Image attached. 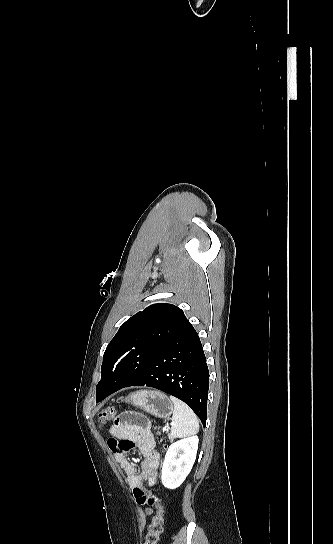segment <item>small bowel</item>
Returning <instances> with one entry per match:
<instances>
[{"instance_id": "1", "label": "small bowel", "mask_w": 333, "mask_h": 544, "mask_svg": "<svg viewBox=\"0 0 333 544\" xmlns=\"http://www.w3.org/2000/svg\"><path fill=\"white\" fill-rule=\"evenodd\" d=\"M110 437L108 446L117 463L123 469L126 482L131 488L136 501L145 503L148 496L146 487L154 488L158 481V468L161 455L156 449V442L149 426L148 419L140 414L126 412L117 417L109 428ZM138 449L142 455V462L138 470L129 461L126 453ZM147 508L145 513L151 514ZM144 522V516L142 517Z\"/></svg>"}]
</instances>
